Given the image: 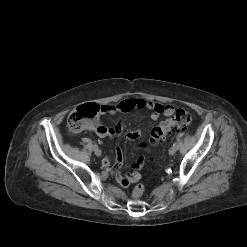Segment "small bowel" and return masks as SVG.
Instances as JSON below:
<instances>
[{"mask_svg": "<svg viewBox=\"0 0 247 247\" xmlns=\"http://www.w3.org/2000/svg\"><path fill=\"white\" fill-rule=\"evenodd\" d=\"M101 114L109 113H128L137 108H145L152 111L151 119L157 120L161 115L170 116L174 112V107L171 105H165L161 103H156L152 101H147L144 99H134L127 98L120 101L117 104L105 105L101 107ZM123 123L118 122L114 127L109 128L103 125H94L89 127L88 129L94 132L99 137H108V136H119L123 131ZM141 135L140 130L132 131L126 134V138L128 140H137ZM141 147H145L144 144L140 145ZM111 161L108 157H104L102 160V165L104 167H109ZM144 158L143 156L138 157V159L132 164L133 172L122 174L121 168L123 165V154L120 147H116V158L115 164L112 170V174L115 180L122 186L128 187L130 184L137 182L141 174L138 170L143 166Z\"/></svg>", "mask_w": 247, "mask_h": 247, "instance_id": "c3829d8e", "label": "small bowel"}]
</instances>
